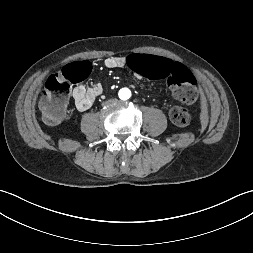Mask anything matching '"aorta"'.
I'll return each mask as SVG.
<instances>
[{
    "mask_svg": "<svg viewBox=\"0 0 253 253\" xmlns=\"http://www.w3.org/2000/svg\"><path fill=\"white\" fill-rule=\"evenodd\" d=\"M131 93L128 89L124 88V89H121L120 92H119V97L122 99V100H127L129 99Z\"/></svg>",
    "mask_w": 253,
    "mask_h": 253,
    "instance_id": "obj_1",
    "label": "aorta"
}]
</instances>
